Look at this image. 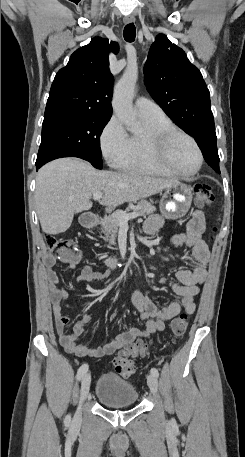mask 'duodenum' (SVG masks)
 Wrapping results in <instances>:
<instances>
[{
	"instance_id": "obj_1",
	"label": "duodenum",
	"mask_w": 245,
	"mask_h": 457,
	"mask_svg": "<svg viewBox=\"0 0 245 457\" xmlns=\"http://www.w3.org/2000/svg\"><path fill=\"white\" fill-rule=\"evenodd\" d=\"M82 223L85 226H94L97 223V217L95 215H93V214L85 215L83 217V219H82ZM107 263L112 269H116V268L125 266L127 264V261L126 260H120V259H117V258H110L107 261Z\"/></svg>"
}]
</instances>
